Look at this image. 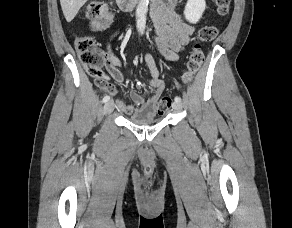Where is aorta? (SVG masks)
Returning a JSON list of instances; mask_svg holds the SVG:
<instances>
[{
	"label": "aorta",
	"instance_id": "762f6f07",
	"mask_svg": "<svg viewBox=\"0 0 292 228\" xmlns=\"http://www.w3.org/2000/svg\"><path fill=\"white\" fill-rule=\"evenodd\" d=\"M149 0H139L136 8V26L139 32H144L146 27V15L148 12Z\"/></svg>",
	"mask_w": 292,
	"mask_h": 228
}]
</instances>
